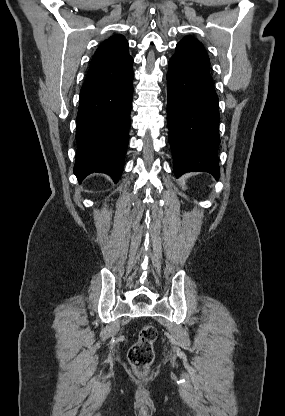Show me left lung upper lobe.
<instances>
[{
  "label": "left lung upper lobe",
  "instance_id": "left-lung-upper-lobe-1",
  "mask_svg": "<svg viewBox=\"0 0 285 416\" xmlns=\"http://www.w3.org/2000/svg\"><path fill=\"white\" fill-rule=\"evenodd\" d=\"M210 74V61L203 45L193 37H184L176 46L172 56Z\"/></svg>",
  "mask_w": 285,
  "mask_h": 416
}]
</instances>
